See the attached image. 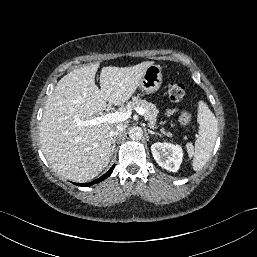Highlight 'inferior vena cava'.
Listing matches in <instances>:
<instances>
[{"mask_svg": "<svg viewBox=\"0 0 257 257\" xmlns=\"http://www.w3.org/2000/svg\"><path fill=\"white\" fill-rule=\"evenodd\" d=\"M124 129H125V126H123V125H121V124H118V125L114 126V127L110 130L109 136H110V137L116 136V135L122 133V132L124 131Z\"/></svg>", "mask_w": 257, "mask_h": 257, "instance_id": "obj_1", "label": "inferior vena cava"}]
</instances>
